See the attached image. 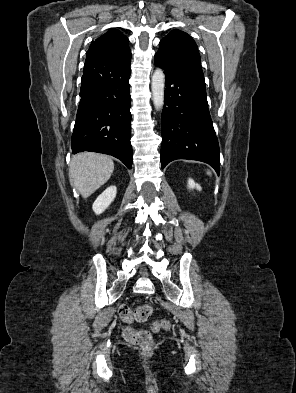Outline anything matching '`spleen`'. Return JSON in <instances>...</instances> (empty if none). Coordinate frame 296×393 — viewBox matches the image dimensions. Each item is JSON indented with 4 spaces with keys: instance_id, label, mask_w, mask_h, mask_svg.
<instances>
[{
    "instance_id": "3e777b00",
    "label": "spleen",
    "mask_w": 296,
    "mask_h": 393,
    "mask_svg": "<svg viewBox=\"0 0 296 393\" xmlns=\"http://www.w3.org/2000/svg\"><path fill=\"white\" fill-rule=\"evenodd\" d=\"M207 174H208V175H211V172H210V171H207Z\"/></svg>"
}]
</instances>
